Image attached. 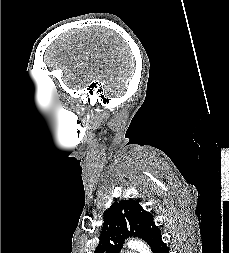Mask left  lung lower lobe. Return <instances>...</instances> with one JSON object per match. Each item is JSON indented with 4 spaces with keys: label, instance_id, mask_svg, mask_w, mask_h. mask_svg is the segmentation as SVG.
Instances as JSON below:
<instances>
[{
    "label": "left lung lower lobe",
    "instance_id": "obj_1",
    "mask_svg": "<svg viewBox=\"0 0 229 253\" xmlns=\"http://www.w3.org/2000/svg\"><path fill=\"white\" fill-rule=\"evenodd\" d=\"M153 253H169L168 247L162 239L155 245Z\"/></svg>",
    "mask_w": 229,
    "mask_h": 253
}]
</instances>
